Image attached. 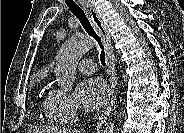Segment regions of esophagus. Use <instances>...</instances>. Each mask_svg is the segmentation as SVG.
<instances>
[{
    "mask_svg": "<svg viewBox=\"0 0 184 133\" xmlns=\"http://www.w3.org/2000/svg\"><path fill=\"white\" fill-rule=\"evenodd\" d=\"M78 3L81 5V7L85 10V12L89 15V18L98 31L99 35L101 36L102 42L104 44L105 48V54H106V63L108 66V73H109V82H110V97L109 101L99 117V121L97 123L96 129L99 130L103 124L106 122V119L108 118L109 114L112 111V108L114 106V86L117 81V73L115 69V64H114V53L111 45V39L110 35L108 33V29L106 25L104 24L103 20L99 16L96 8L92 4L90 0H80Z\"/></svg>",
    "mask_w": 184,
    "mask_h": 133,
    "instance_id": "34e87169",
    "label": "esophagus"
}]
</instances>
